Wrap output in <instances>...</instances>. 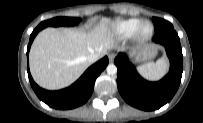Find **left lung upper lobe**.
Wrapping results in <instances>:
<instances>
[{"mask_svg": "<svg viewBox=\"0 0 203 123\" xmlns=\"http://www.w3.org/2000/svg\"><path fill=\"white\" fill-rule=\"evenodd\" d=\"M152 20L154 23L155 32H159L167 28H173L172 24L164 19L154 17Z\"/></svg>", "mask_w": 203, "mask_h": 123, "instance_id": "5c2ea615", "label": "left lung upper lobe"}]
</instances>
